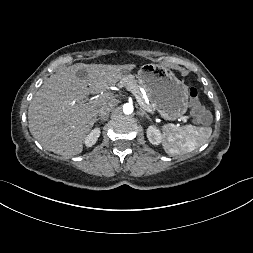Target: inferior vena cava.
Here are the masks:
<instances>
[{
    "label": "inferior vena cava",
    "instance_id": "602c4592",
    "mask_svg": "<svg viewBox=\"0 0 253 253\" xmlns=\"http://www.w3.org/2000/svg\"><path fill=\"white\" fill-rule=\"evenodd\" d=\"M116 102L114 100L109 101L108 103L102 105L99 110L98 113L101 117H105L108 116L110 111H112V109L115 107Z\"/></svg>",
    "mask_w": 253,
    "mask_h": 253
}]
</instances>
